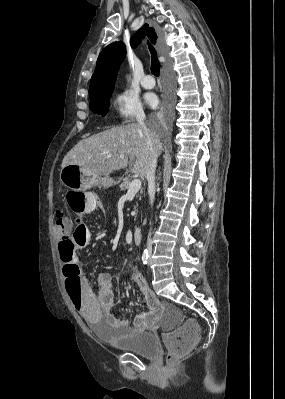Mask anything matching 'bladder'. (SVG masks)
<instances>
[{"label":"bladder","mask_w":285,"mask_h":399,"mask_svg":"<svg viewBox=\"0 0 285 399\" xmlns=\"http://www.w3.org/2000/svg\"><path fill=\"white\" fill-rule=\"evenodd\" d=\"M91 325L97 335H104L100 328V322H91ZM107 340L125 352L134 353L145 358H154L159 353L158 342L155 336L149 332L132 331V334L125 337L111 335L107 337Z\"/></svg>","instance_id":"obj_1"}]
</instances>
